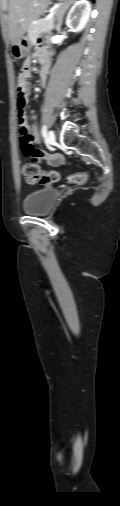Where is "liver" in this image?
Listing matches in <instances>:
<instances>
[{"label":"liver","mask_w":120,"mask_h":506,"mask_svg":"<svg viewBox=\"0 0 120 506\" xmlns=\"http://www.w3.org/2000/svg\"><path fill=\"white\" fill-rule=\"evenodd\" d=\"M50 0H9L10 40L14 44L47 9Z\"/></svg>","instance_id":"liver-1"}]
</instances>
